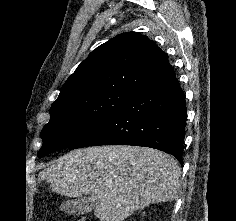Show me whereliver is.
I'll return each mask as SVG.
<instances>
[{
	"label": "liver",
	"instance_id": "liver-1",
	"mask_svg": "<svg viewBox=\"0 0 236 221\" xmlns=\"http://www.w3.org/2000/svg\"><path fill=\"white\" fill-rule=\"evenodd\" d=\"M181 169L171 155L139 146H99L68 152L39 173L51 191L93 197L100 221H124L152 203L173 201Z\"/></svg>",
	"mask_w": 236,
	"mask_h": 221
}]
</instances>
